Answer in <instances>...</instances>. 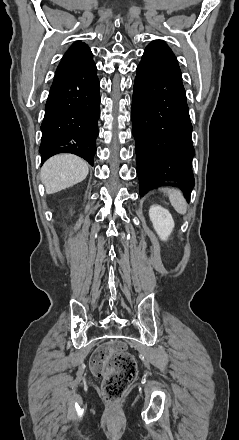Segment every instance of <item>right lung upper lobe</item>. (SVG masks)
I'll use <instances>...</instances> for the list:
<instances>
[{"label": "right lung upper lobe", "mask_w": 239, "mask_h": 440, "mask_svg": "<svg viewBox=\"0 0 239 440\" xmlns=\"http://www.w3.org/2000/svg\"><path fill=\"white\" fill-rule=\"evenodd\" d=\"M92 57L93 55L89 47L85 43L78 41L73 43L67 50L59 65H90L94 63Z\"/></svg>", "instance_id": "1"}]
</instances>
